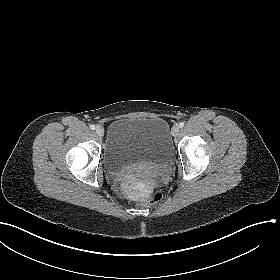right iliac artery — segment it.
I'll return each instance as SVG.
<instances>
[{
    "label": "right iliac artery",
    "instance_id": "obj_1",
    "mask_svg": "<svg viewBox=\"0 0 280 280\" xmlns=\"http://www.w3.org/2000/svg\"><path fill=\"white\" fill-rule=\"evenodd\" d=\"M90 128H91L92 130H94V129H95V125H94V124H91V125H90Z\"/></svg>",
    "mask_w": 280,
    "mask_h": 280
}]
</instances>
